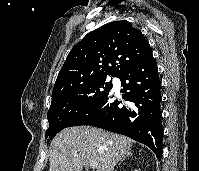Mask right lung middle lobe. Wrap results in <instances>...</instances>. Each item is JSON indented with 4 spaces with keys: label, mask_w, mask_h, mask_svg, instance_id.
Wrapping results in <instances>:
<instances>
[{
    "label": "right lung middle lobe",
    "mask_w": 199,
    "mask_h": 171,
    "mask_svg": "<svg viewBox=\"0 0 199 171\" xmlns=\"http://www.w3.org/2000/svg\"><path fill=\"white\" fill-rule=\"evenodd\" d=\"M106 80L107 77H103L86 82L52 102L47 114L49 128L45 138H53L78 115L104 97L112 88V81Z\"/></svg>",
    "instance_id": "dd1d6c3e"
}]
</instances>
